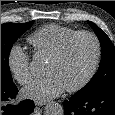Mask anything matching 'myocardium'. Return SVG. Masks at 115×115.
Segmentation results:
<instances>
[{
    "mask_svg": "<svg viewBox=\"0 0 115 115\" xmlns=\"http://www.w3.org/2000/svg\"><path fill=\"white\" fill-rule=\"evenodd\" d=\"M89 37L93 40L94 45H95V58L93 65L88 72V74L84 77L83 80H81L78 84L66 88V91L68 92H77L81 89H83L85 86L89 84V82L93 79L95 74L98 71L100 61H101V56H102V47L99 38L90 31H78L77 33L71 35L67 39H65L62 44L59 46V48L56 50V52L49 58V61L52 62H57L63 58L65 55L66 51L68 50L69 46L78 38L80 37Z\"/></svg>",
    "mask_w": 115,
    "mask_h": 115,
    "instance_id": "f54148a6",
    "label": "myocardium"
}]
</instances>
